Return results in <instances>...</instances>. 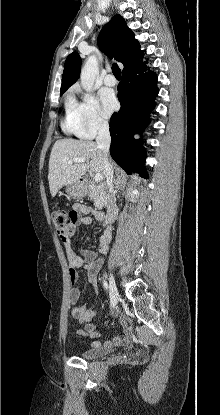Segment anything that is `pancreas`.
I'll return each mask as SVG.
<instances>
[{"label":"pancreas","mask_w":220,"mask_h":415,"mask_svg":"<svg viewBox=\"0 0 220 415\" xmlns=\"http://www.w3.org/2000/svg\"><path fill=\"white\" fill-rule=\"evenodd\" d=\"M89 196L90 199L94 201V205L96 208L101 209L103 206L107 204V189L104 187H98L95 184L89 185Z\"/></svg>","instance_id":"cf45deb5"}]
</instances>
